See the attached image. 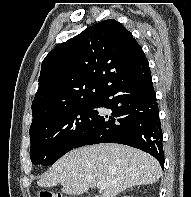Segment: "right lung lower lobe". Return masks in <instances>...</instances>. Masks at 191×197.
Returning <instances> with one entry per match:
<instances>
[{
  "label": "right lung lower lobe",
  "mask_w": 191,
  "mask_h": 197,
  "mask_svg": "<svg viewBox=\"0 0 191 197\" xmlns=\"http://www.w3.org/2000/svg\"><path fill=\"white\" fill-rule=\"evenodd\" d=\"M97 104L111 110V116L98 114L74 148L121 143L151 154L164 167L163 136L149 65L108 87Z\"/></svg>",
  "instance_id": "1"
}]
</instances>
